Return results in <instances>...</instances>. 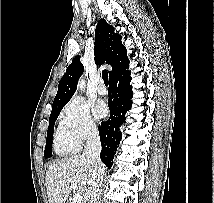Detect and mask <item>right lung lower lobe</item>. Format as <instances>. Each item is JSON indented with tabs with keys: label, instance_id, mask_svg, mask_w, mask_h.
<instances>
[{
	"label": "right lung lower lobe",
	"instance_id": "98d812e1",
	"mask_svg": "<svg viewBox=\"0 0 214 203\" xmlns=\"http://www.w3.org/2000/svg\"><path fill=\"white\" fill-rule=\"evenodd\" d=\"M130 71H122L109 80V110L110 117L99 126V135L102 145L101 160L111 168L114 155L122 138L119 126L125 122V113L130 109L132 102V87Z\"/></svg>",
	"mask_w": 214,
	"mask_h": 203
}]
</instances>
